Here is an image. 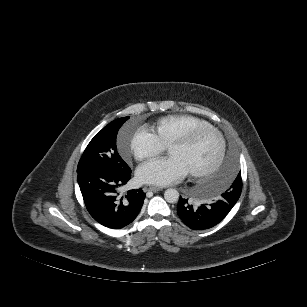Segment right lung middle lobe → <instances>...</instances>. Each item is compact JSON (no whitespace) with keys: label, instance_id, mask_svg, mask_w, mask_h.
I'll use <instances>...</instances> for the list:
<instances>
[{"label":"right lung middle lobe","instance_id":"dd1d6c3e","mask_svg":"<svg viewBox=\"0 0 307 307\" xmlns=\"http://www.w3.org/2000/svg\"><path fill=\"white\" fill-rule=\"evenodd\" d=\"M128 119L129 117L116 119L94 136L82 154L77 173L102 170L122 174L130 171L128 165L120 157L116 146L117 133Z\"/></svg>","mask_w":307,"mask_h":307}]
</instances>
